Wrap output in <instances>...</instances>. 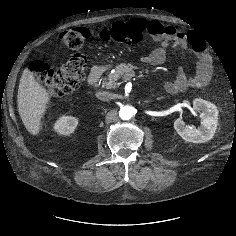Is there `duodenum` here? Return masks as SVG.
<instances>
[{
	"mask_svg": "<svg viewBox=\"0 0 236 236\" xmlns=\"http://www.w3.org/2000/svg\"><path fill=\"white\" fill-rule=\"evenodd\" d=\"M105 69L106 67L103 64L94 65L88 76V83L91 85L96 84L103 75Z\"/></svg>",
	"mask_w": 236,
	"mask_h": 236,
	"instance_id": "obj_1",
	"label": "duodenum"
}]
</instances>
